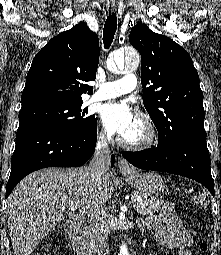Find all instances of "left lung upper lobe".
<instances>
[{
	"instance_id": "obj_1",
	"label": "left lung upper lobe",
	"mask_w": 221,
	"mask_h": 255,
	"mask_svg": "<svg viewBox=\"0 0 221 255\" xmlns=\"http://www.w3.org/2000/svg\"><path fill=\"white\" fill-rule=\"evenodd\" d=\"M129 41L141 54L143 103L159 133V142L206 137L203 93L188 52L170 38L136 24Z\"/></svg>"
}]
</instances>
